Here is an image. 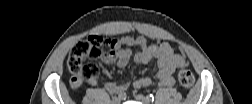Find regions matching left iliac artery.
<instances>
[{
  "mask_svg": "<svg viewBox=\"0 0 252 104\" xmlns=\"http://www.w3.org/2000/svg\"><path fill=\"white\" fill-rule=\"evenodd\" d=\"M148 102H153L154 101V96L152 94L147 95L146 97Z\"/></svg>",
  "mask_w": 252,
  "mask_h": 104,
  "instance_id": "44dca946",
  "label": "left iliac artery"
}]
</instances>
